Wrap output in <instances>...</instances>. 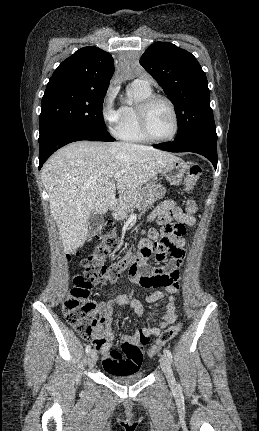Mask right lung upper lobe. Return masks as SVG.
<instances>
[{
  "instance_id": "obj_1",
  "label": "right lung upper lobe",
  "mask_w": 259,
  "mask_h": 431,
  "mask_svg": "<svg viewBox=\"0 0 259 431\" xmlns=\"http://www.w3.org/2000/svg\"><path fill=\"white\" fill-rule=\"evenodd\" d=\"M114 73V60L108 52L88 46L77 50L55 70L46 91L58 88L107 92Z\"/></svg>"
}]
</instances>
